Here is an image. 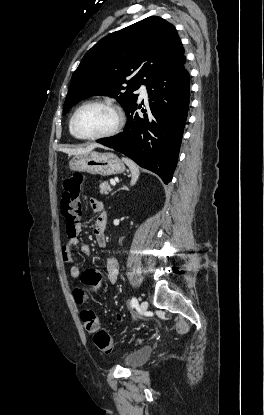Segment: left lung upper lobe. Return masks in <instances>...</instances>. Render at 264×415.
<instances>
[{
    "mask_svg": "<svg viewBox=\"0 0 264 415\" xmlns=\"http://www.w3.org/2000/svg\"><path fill=\"white\" fill-rule=\"evenodd\" d=\"M183 56L175 27L158 16L116 31L95 44L74 71L63 114L93 95L113 97L127 110L137 100L133 91L169 70Z\"/></svg>",
    "mask_w": 264,
    "mask_h": 415,
    "instance_id": "obj_1",
    "label": "left lung upper lobe"
}]
</instances>
